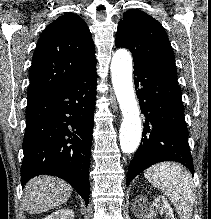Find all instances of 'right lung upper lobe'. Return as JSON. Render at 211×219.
<instances>
[{"label": "right lung upper lobe", "instance_id": "right-lung-upper-lobe-1", "mask_svg": "<svg viewBox=\"0 0 211 219\" xmlns=\"http://www.w3.org/2000/svg\"><path fill=\"white\" fill-rule=\"evenodd\" d=\"M96 66L87 24L68 13L49 24L36 46L30 71L28 101L42 97Z\"/></svg>", "mask_w": 211, "mask_h": 219}]
</instances>
